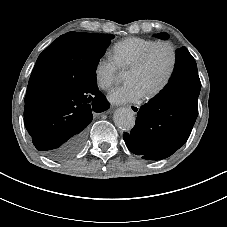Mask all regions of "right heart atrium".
Returning a JSON list of instances; mask_svg holds the SVG:
<instances>
[{"label":"right heart atrium","instance_id":"right-heart-atrium-1","mask_svg":"<svg viewBox=\"0 0 227 227\" xmlns=\"http://www.w3.org/2000/svg\"><path fill=\"white\" fill-rule=\"evenodd\" d=\"M118 68L109 56L101 57L94 68V79L97 87L102 91L113 88L117 79Z\"/></svg>","mask_w":227,"mask_h":227}]
</instances>
